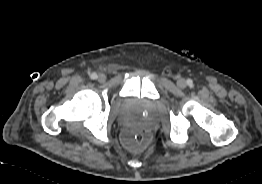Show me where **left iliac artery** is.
Listing matches in <instances>:
<instances>
[{"label":"left iliac artery","mask_w":262,"mask_h":184,"mask_svg":"<svg viewBox=\"0 0 262 184\" xmlns=\"http://www.w3.org/2000/svg\"><path fill=\"white\" fill-rule=\"evenodd\" d=\"M187 84H188L189 86H192V85H193V81H192L191 79H188V80H187Z\"/></svg>","instance_id":"44dca946"}]
</instances>
